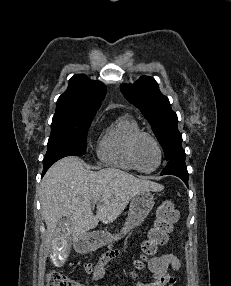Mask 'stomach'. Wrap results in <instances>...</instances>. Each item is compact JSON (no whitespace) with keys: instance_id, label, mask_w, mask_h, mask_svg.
Listing matches in <instances>:
<instances>
[{"instance_id":"0dacf381","label":"stomach","mask_w":231,"mask_h":286,"mask_svg":"<svg viewBox=\"0 0 231 286\" xmlns=\"http://www.w3.org/2000/svg\"><path fill=\"white\" fill-rule=\"evenodd\" d=\"M154 204V197L150 191L135 195L131 199L128 216L120 233L111 234L108 231H94L85 234L75 242V249L80 253H87L121 239L146 219Z\"/></svg>"}]
</instances>
